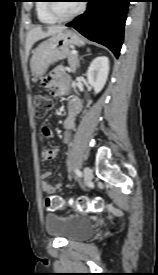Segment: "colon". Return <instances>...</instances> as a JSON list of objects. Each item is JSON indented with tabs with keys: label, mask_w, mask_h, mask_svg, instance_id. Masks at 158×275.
I'll return each instance as SVG.
<instances>
[{
	"label": "colon",
	"mask_w": 158,
	"mask_h": 275,
	"mask_svg": "<svg viewBox=\"0 0 158 275\" xmlns=\"http://www.w3.org/2000/svg\"><path fill=\"white\" fill-rule=\"evenodd\" d=\"M47 85V80L44 81ZM33 103L35 115L38 118L44 117L52 107L51 97L42 91H36L33 94ZM82 212L101 211L104 208V202L102 199H89L87 197H80L75 201H70ZM44 205L47 210L55 211L63 208L65 201L59 196H46L44 198Z\"/></svg>",
	"instance_id": "colon-1"
}]
</instances>
